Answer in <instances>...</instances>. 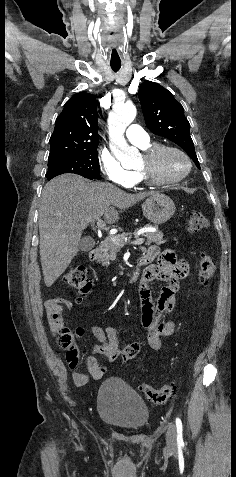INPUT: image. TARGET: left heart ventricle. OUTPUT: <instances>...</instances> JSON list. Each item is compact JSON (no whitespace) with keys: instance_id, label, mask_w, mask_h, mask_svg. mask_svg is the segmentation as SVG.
Instances as JSON below:
<instances>
[{"instance_id":"b2bd125f","label":"left heart ventricle","mask_w":236,"mask_h":477,"mask_svg":"<svg viewBox=\"0 0 236 477\" xmlns=\"http://www.w3.org/2000/svg\"><path fill=\"white\" fill-rule=\"evenodd\" d=\"M143 163V159L141 164ZM140 164V165H141ZM186 170V161L174 152L163 154L156 164V176L160 179H170L182 175Z\"/></svg>"}]
</instances>
